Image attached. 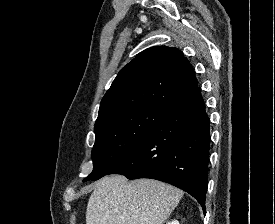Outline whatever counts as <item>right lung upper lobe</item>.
<instances>
[{"label": "right lung upper lobe", "mask_w": 275, "mask_h": 224, "mask_svg": "<svg viewBox=\"0 0 275 224\" xmlns=\"http://www.w3.org/2000/svg\"><path fill=\"white\" fill-rule=\"evenodd\" d=\"M197 86L194 70L180 50L148 48L118 73L101 101L95 126L143 107L167 110Z\"/></svg>", "instance_id": "right-lung-upper-lobe-1"}]
</instances>
